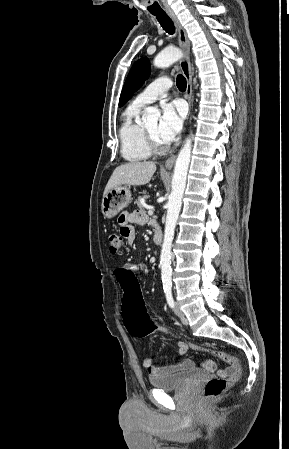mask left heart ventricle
I'll return each instance as SVG.
<instances>
[{
    "instance_id": "b2bd125f",
    "label": "left heart ventricle",
    "mask_w": 289,
    "mask_h": 449,
    "mask_svg": "<svg viewBox=\"0 0 289 449\" xmlns=\"http://www.w3.org/2000/svg\"><path fill=\"white\" fill-rule=\"evenodd\" d=\"M146 128L148 129V131L151 133V135L160 143V144H165L161 141V139L159 138L158 135V121L155 120L151 123H148L146 125Z\"/></svg>"
}]
</instances>
